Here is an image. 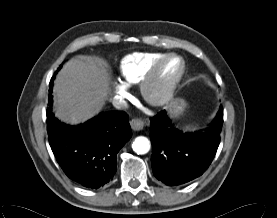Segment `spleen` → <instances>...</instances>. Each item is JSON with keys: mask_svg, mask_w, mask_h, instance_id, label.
<instances>
[{"mask_svg": "<svg viewBox=\"0 0 277 218\" xmlns=\"http://www.w3.org/2000/svg\"><path fill=\"white\" fill-rule=\"evenodd\" d=\"M187 130H191V127H190V126H188V127H187Z\"/></svg>", "mask_w": 277, "mask_h": 218, "instance_id": "spleen-1", "label": "spleen"}]
</instances>
